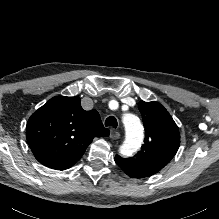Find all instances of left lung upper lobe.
I'll return each mask as SVG.
<instances>
[{
  "instance_id": "obj_1",
  "label": "left lung upper lobe",
  "mask_w": 219,
  "mask_h": 219,
  "mask_svg": "<svg viewBox=\"0 0 219 219\" xmlns=\"http://www.w3.org/2000/svg\"><path fill=\"white\" fill-rule=\"evenodd\" d=\"M145 139L141 150L130 158L116 155L115 161L132 178L150 177L162 170L175 156L180 145L179 129L158 102L140 101Z\"/></svg>"
}]
</instances>
